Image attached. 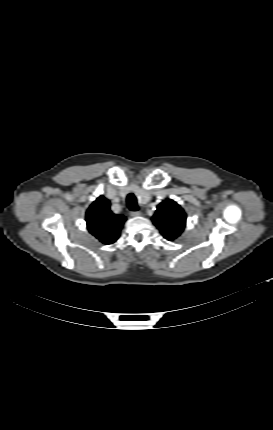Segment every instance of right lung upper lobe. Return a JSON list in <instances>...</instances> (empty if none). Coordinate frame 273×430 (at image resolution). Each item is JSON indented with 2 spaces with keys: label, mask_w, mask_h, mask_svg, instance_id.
<instances>
[{
  "label": "right lung upper lobe",
  "mask_w": 273,
  "mask_h": 430,
  "mask_svg": "<svg viewBox=\"0 0 273 430\" xmlns=\"http://www.w3.org/2000/svg\"><path fill=\"white\" fill-rule=\"evenodd\" d=\"M125 220L123 215L112 213L110 202L103 196L98 197L86 212L87 229L104 244L117 240Z\"/></svg>",
  "instance_id": "right-lung-upper-lobe-1"
}]
</instances>
